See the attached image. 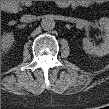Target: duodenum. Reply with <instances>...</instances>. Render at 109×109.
I'll use <instances>...</instances> for the list:
<instances>
[{"instance_id":"1","label":"duodenum","mask_w":109,"mask_h":109,"mask_svg":"<svg viewBox=\"0 0 109 109\" xmlns=\"http://www.w3.org/2000/svg\"><path fill=\"white\" fill-rule=\"evenodd\" d=\"M68 5H69L68 2H66V1L60 2L61 7H68ZM2 8L5 11H10L12 9V4L9 3V2H5V3L2 4Z\"/></svg>"}]
</instances>
